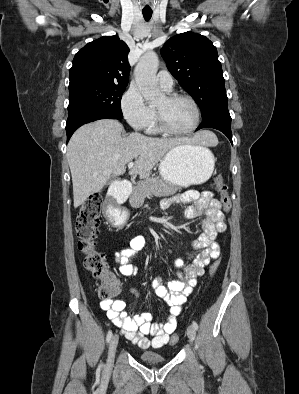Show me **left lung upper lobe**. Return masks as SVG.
I'll return each instance as SVG.
<instances>
[{
  "label": "left lung upper lobe",
  "mask_w": 299,
  "mask_h": 394,
  "mask_svg": "<svg viewBox=\"0 0 299 394\" xmlns=\"http://www.w3.org/2000/svg\"><path fill=\"white\" fill-rule=\"evenodd\" d=\"M161 55L170 73L198 104L203 119L228 110L217 49L207 37L192 32L178 34L164 44Z\"/></svg>",
  "instance_id": "5c2ea615"
}]
</instances>
